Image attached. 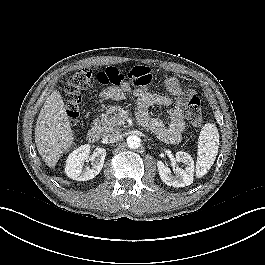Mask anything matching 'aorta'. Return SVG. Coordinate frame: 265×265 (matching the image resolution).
I'll return each mask as SVG.
<instances>
[{
    "label": "aorta",
    "mask_w": 265,
    "mask_h": 265,
    "mask_svg": "<svg viewBox=\"0 0 265 265\" xmlns=\"http://www.w3.org/2000/svg\"><path fill=\"white\" fill-rule=\"evenodd\" d=\"M141 140L136 135H131L127 138V145L130 149H137L140 146Z\"/></svg>",
    "instance_id": "762f6f07"
}]
</instances>
